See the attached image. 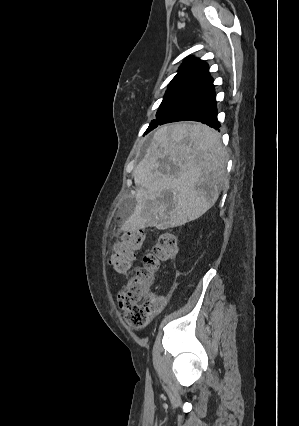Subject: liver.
<instances>
[{
  "label": "liver",
  "instance_id": "liver-1",
  "mask_svg": "<svg viewBox=\"0 0 299 426\" xmlns=\"http://www.w3.org/2000/svg\"><path fill=\"white\" fill-rule=\"evenodd\" d=\"M227 160L220 136L207 125L161 126L134 169L136 206L121 229L164 230L199 218L218 199Z\"/></svg>",
  "mask_w": 299,
  "mask_h": 426
}]
</instances>
